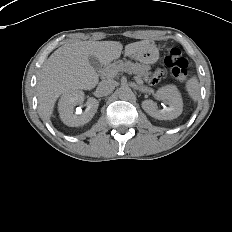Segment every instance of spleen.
I'll list each match as a JSON object with an SVG mask.
<instances>
[{
	"label": "spleen",
	"mask_w": 232,
	"mask_h": 232,
	"mask_svg": "<svg viewBox=\"0 0 232 232\" xmlns=\"http://www.w3.org/2000/svg\"><path fill=\"white\" fill-rule=\"evenodd\" d=\"M186 91L189 97L194 101H198L200 99V84L196 76H192L187 80L185 84Z\"/></svg>",
	"instance_id": "1"
}]
</instances>
